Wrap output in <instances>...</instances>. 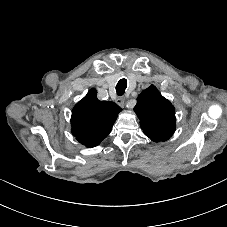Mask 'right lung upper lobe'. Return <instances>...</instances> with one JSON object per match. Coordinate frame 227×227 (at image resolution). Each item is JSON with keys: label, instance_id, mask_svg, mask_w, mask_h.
<instances>
[{"label": "right lung upper lobe", "instance_id": "cb5924a9", "mask_svg": "<svg viewBox=\"0 0 227 227\" xmlns=\"http://www.w3.org/2000/svg\"><path fill=\"white\" fill-rule=\"evenodd\" d=\"M121 111L114 102L98 100L96 89L91 88L72 110V134L86 147H95L111 132Z\"/></svg>", "mask_w": 227, "mask_h": 227}]
</instances>
